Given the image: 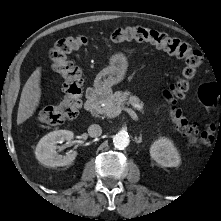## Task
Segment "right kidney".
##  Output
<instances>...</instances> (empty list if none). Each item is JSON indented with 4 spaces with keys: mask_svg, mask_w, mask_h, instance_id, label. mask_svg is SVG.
<instances>
[{
    "mask_svg": "<svg viewBox=\"0 0 221 221\" xmlns=\"http://www.w3.org/2000/svg\"><path fill=\"white\" fill-rule=\"evenodd\" d=\"M74 133L68 130L53 131L45 135L39 141L35 155L40 163L45 166L56 167L70 165L76 158L77 152L72 151L66 155H59L56 152L57 144L70 141Z\"/></svg>",
    "mask_w": 221,
    "mask_h": 221,
    "instance_id": "1",
    "label": "right kidney"
}]
</instances>
